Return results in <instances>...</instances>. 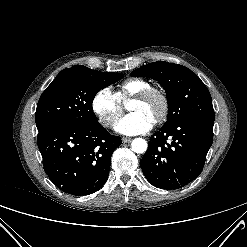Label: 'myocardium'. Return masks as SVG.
Listing matches in <instances>:
<instances>
[{
	"instance_id": "f54148a6",
	"label": "myocardium",
	"mask_w": 247,
	"mask_h": 247,
	"mask_svg": "<svg viewBox=\"0 0 247 247\" xmlns=\"http://www.w3.org/2000/svg\"><path fill=\"white\" fill-rule=\"evenodd\" d=\"M153 97H158L162 103L161 111L155 119V123L160 124L167 119L170 111V99L168 94L163 89L151 86L136 94L133 97V100L139 102H146Z\"/></svg>"
}]
</instances>
